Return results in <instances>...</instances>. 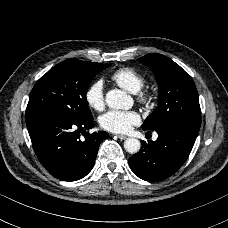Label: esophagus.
Here are the masks:
<instances>
[{"label": "esophagus", "instance_id": "obj_1", "mask_svg": "<svg viewBox=\"0 0 228 228\" xmlns=\"http://www.w3.org/2000/svg\"><path fill=\"white\" fill-rule=\"evenodd\" d=\"M117 137H118L120 140H125V139L128 138L126 135H118Z\"/></svg>", "mask_w": 228, "mask_h": 228}]
</instances>
